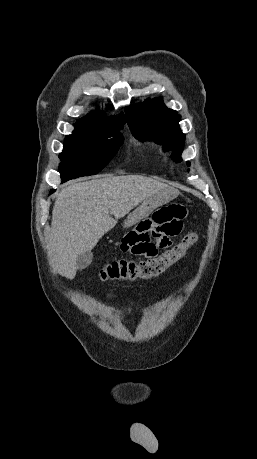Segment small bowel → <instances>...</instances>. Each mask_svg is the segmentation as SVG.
<instances>
[{
    "mask_svg": "<svg viewBox=\"0 0 257 459\" xmlns=\"http://www.w3.org/2000/svg\"><path fill=\"white\" fill-rule=\"evenodd\" d=\"M186 205H156L151 217H143L142 223H134L123 239H118L122 255L152 261L158 251H168L172 246V236L184 234L182 222L187 220Z\"/></svg>",
    "mask_w": 257,
    "mask_h": 459,
    "instance_id": "small-bowel-1",
    "label": "small bowel"
}]
</instances>
